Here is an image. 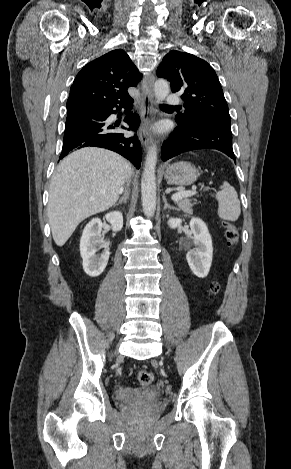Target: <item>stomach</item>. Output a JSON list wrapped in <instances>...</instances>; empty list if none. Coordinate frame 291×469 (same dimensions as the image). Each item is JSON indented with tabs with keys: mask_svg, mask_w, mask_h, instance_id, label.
I'll list each match as a JSON object with an SVG mask.
<instances>
[{
	"mask_svg": "<svg viewBox=\"0 0 291 469\" xmlns=\"http://www.w3.org/2000/svg\"><path fill=\"white\" fill-rule=\"evenodd\" d=\"M163 174L169 184L186 186L197 180L199 172L190 162L180 161L166 166Z\"/></svg>",
	"mask_w": 291,
	"mask_h": 469,
	"instance_id": "1",
	"label": "stomach"
}]
</instances>
